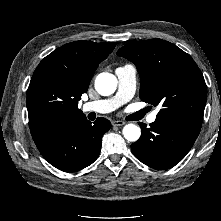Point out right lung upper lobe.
<instances>
[{
	"instance_id": "1",
	"label": "right lung upper lobe",
	"mask_w": 221,
	"mask_h": 221,
	"mask_svg": "<svg viewBox=\"0 0 221 221\" xmlns=\"http://www.w3.org/2000/svg\"><path fill=\"white\" fill-rule=\"evenodd\" d=\"M115 45L75 41L59 47L40 62L27 92L33 138L65 122L86 118L78 109V101L87 92L99 63Z\"/></svg>"
}]
</instances>
